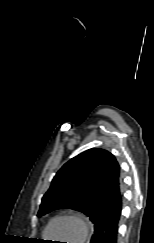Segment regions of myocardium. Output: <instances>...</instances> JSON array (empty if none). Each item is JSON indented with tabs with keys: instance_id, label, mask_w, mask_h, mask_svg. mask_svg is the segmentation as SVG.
I'll return each mask as SVG.
<instances>
[{
	"instance_id": "myocardium-1",
	"label": "myocardium",
	"mask_w": 154,
	"mask_h": 243,
	"mask_svg": "<svg viewBox=\"0 0 154 243\" xmlns=\"http://www.w3.org/2000/svg\"><path fill=\"white\" fill-rule=\"evenodd\" d=\"M58 220H70V221L75 222L78 227V238L75 242L84 243V241L88 235V225H87L86 221L80 215H77V214L63 213V214L54 216L46 226V229H45L46 235L49 234V231H50L52 225ZM68 243H70V242H68Z\"/></svg>"
}]
</instances>
